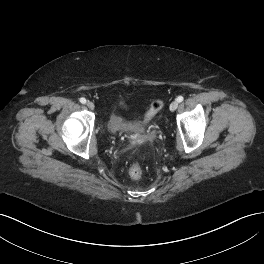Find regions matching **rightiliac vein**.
Masks as SVG:
<instances>
[{
    "instance_id": "63e3f726",
    "label": "right iliac vein",
    "mask_w": 264,
    "mask_h": 264,
    "mask_svg": "<svg viewBox=\"0 0 264 264\" xmlns=\"http://www.w3.org/2000/svg\"><path fill=\"white\" fill-rule=\"evenodd\" d=\"M87 107H88L90 110H94V108H95V105H94V103H93V102H91V101H88V102H87Z\"/></svg>"
}]
</instances>
